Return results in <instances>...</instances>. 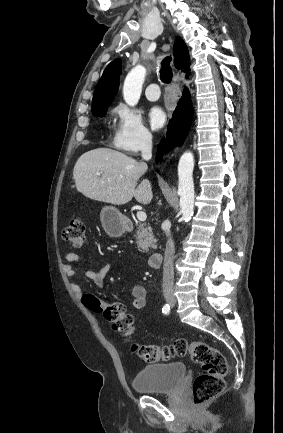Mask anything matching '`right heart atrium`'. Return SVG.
Segmentation results:
<instances>
[{"label":"right heart atrium","instance_id":"d8ad5b80","mask_svg":"<svg viewBox=\"0 0 283 433\" xmlns=\"http://www.w3.org/2000/svg\"><path fill=\"white\" fill-rule=\"evenodd\" d=\"M113 113L117 119L111 138L113 148L128 155H138L152 147V134L138 110L119 103L114 107Z\"/></svg>","mask_w":283,"mask_h":433}]
</instances>
